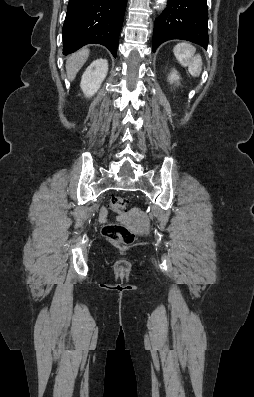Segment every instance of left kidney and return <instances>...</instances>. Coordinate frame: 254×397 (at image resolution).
I'll return each instance as SVG.
<instances>
[{"mask_svg": "<svg viewBox=\"0 0 254 397\" xmlns=\"http://www.w3.org/2000/svg\"><path fill=\"white\" fill-rule=\"evenodd\" d=\"M179 79L180 76L178 75V72L175 69H173L168 77V80L170 81V83H174V82H178Z\"/></svg>", "mask_w": 254, "mask_h": 397, "instance_id": "left-kidney-1", "label": "left kidney"}]
</instances>
